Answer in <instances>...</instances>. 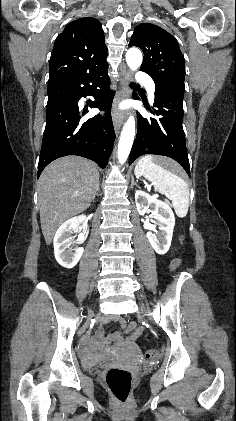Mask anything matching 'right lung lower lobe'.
<instances>
[{
	"mask_svg": "<svg viewBox=\"0 0 236 421\" xmlns=\"http://www.w3.org/2000/svg\"><path fill=\"white\" fill-rule=\"evenodd\" d=\"M107 68L108 65L48 84L65 96L47 103L38 177L50 162L67 155L86 157L101 168L106 167L115 140L111 118L114 93L109 90ZM87 95L95 99L89 106L105 111L104 116L83 118L86 111L79 110L78 102Z\"/></svg>",
	"mask_w": 236,
	"mask_h": 421,
	"instance_id": "1",
	"label": "right lung lower lobe"
}]
</instances>
